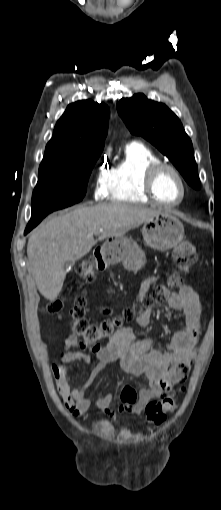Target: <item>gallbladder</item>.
<instances>
[{"label": "gallbladder", "instance_id": "1", "mask_svg": "<svg viewBox=\"0 0 221 510\" xmlns=\"http://www.w3.org/2000/svg\"><path fill=\"white\" fill-rule=\"evenodd\" d=\"M69 263L65 265V268L68 267Z\"/></svg>", "mask_w": 221, "mask_h": 510}]
</instances>
